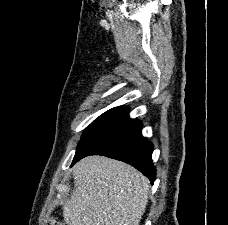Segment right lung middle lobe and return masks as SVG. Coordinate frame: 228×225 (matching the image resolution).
I'll return each mask as SVG.
<instances>
[{
    "label": "right lung middle lobe",
    "mask_w": 228,
    "mask_h": 225,
    "mask_svg": "<svg viewBox=\"0 0 228 225\" xmlns=\"http://www.w3.org/2000/svg\"><path fill=\"white\" fill-rule=\"evenodd\" d=\"M124 108V106H120L117 108H113L110 109L108 111H106L105 113H103L101 116H99L96 120H94L84 131L82 137H81V141L80 144L82 143V141L93 131L95 130L98 126H100L102 123H104L106 120H108L109 118H111L112 116H114L116 113H118L120 110H122ZM79 144V145H80ZM78 145V146H79Z\"/></svg>",
    "instance_id": "right-lung-middle-lobe-1"
}]
</instances>
